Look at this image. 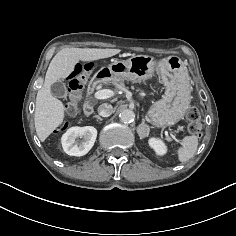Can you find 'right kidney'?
Masks as SVG:
<instances>
[{
  "label": "right kidney",
  "instance_id": "ca27d5eb",
  "mask_svg": "<svg viewBox=\"0 0 236 236\" xmlns=\"http://www.w3.org/2000/svg\"><path fill=\"white\" fill-rule=\"evenodd\" d=\"M97 130L92 126L71 127L62 136L61 142L65 153L83 156L93 147Z\"/></svg>",
  "mask_w": 236,
  "mask_h": 236
}]
</instances>
